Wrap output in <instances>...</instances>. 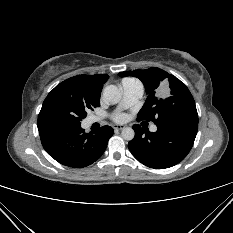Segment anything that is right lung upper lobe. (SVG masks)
Here are the masks:
<instances>
[{"mask_svg":"<svg viewBox=\"0 0 233 233\" xmlns=\"http://www.w3.org/2000/svg\"><path fill=\"white\" fill-rule=\"evenodd\" d=\"M108 77L106 74L79 75L69 78V80L89 92L101 94L103 84L107 81Z\"/></svg>","mask_w":233,"mask_h":233,"instance_id":"cb5924a9","label":"right lung upper lobe"}]
</instances>
